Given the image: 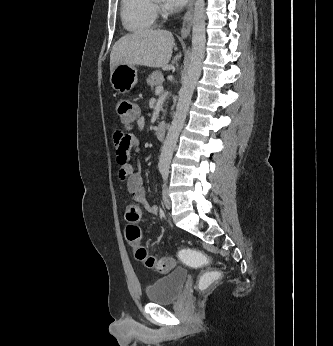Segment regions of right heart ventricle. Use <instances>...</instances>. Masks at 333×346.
Listing matches in <instances>:
<instances>
[{
    "label": "right heart ventricle",
    "mask_w": 333,
    "mask_h": 346,
    "mask_svg": "<svg viewBox=\"0 0 333 346\" xmlns=\"http://www.w3.org/2000/svg\"><path fill=\"white\" fill-rule=\"evenodd\" d=\"M121 19L128 31L151 29L156 20L153 0H121Z\"/></svg>",
    "instance_id": "obj_1"
}]
</instances>
